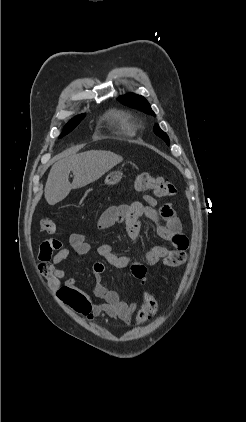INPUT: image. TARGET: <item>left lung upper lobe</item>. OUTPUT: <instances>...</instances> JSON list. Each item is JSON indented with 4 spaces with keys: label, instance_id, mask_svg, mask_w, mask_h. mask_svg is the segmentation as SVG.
Here are the masks:
<instances>
[{
    "label": "left lung upper lobe",
    "instance_id": "obj_1",
    "mask_svg": "<svg viewBox=\"0 0 246 422\" xmlns=\"http://www.w3.org/2000/svg\"><path fill=\"white\" fill-rule=\"evenodd\" d=\"M118 100L129 107L137 108L142 110L145 113L155 115L152 111L149 103L146 101V99L142 96L136 95V94H129L127 96H121L118 98ZM154 133L162 138L168 145H169V137L168 135L163 132L158 125H155L154 127Z\"/></svg>",
    "mask_w": 246,
    "mask_h": 422
}]
</instances>
